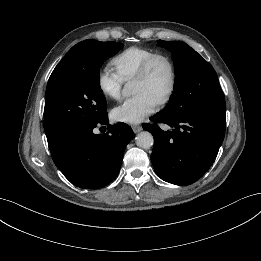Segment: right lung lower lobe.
<instances>
[{
  "mask_svg": "<svg viewBox=\"0 0 261 261\" xmlns=\"http://www.w3.org/2000/svg\"><path fill=\"white\" fill-rule=\"evenodd\" d=\"M107 122L108 116L97 124L73 130L49 145L55 165L72 184L98 189L118 175L124 150L134 133L130 126L121 122L108 124L105 134L93 133L97 125Z\"/></svg>",
  "mask_w": 261,
  "mask_h": 261,
  "instance_id": "obj_1",
  "label": "right lung lower lobe"
}]
</instances>
